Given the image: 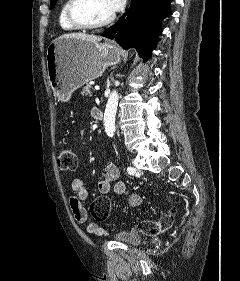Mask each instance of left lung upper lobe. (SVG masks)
Segmentation results:
<instances>
[{"label":"left lung upper lobe","mask_w":240,"mask_h":281,"mask_svg":"<svg viewBox=\"0 0 240 281\" xmlns=\"http://www.w3.org/2000/svg\"><path fill=\"white\" fill-rule=\"evenodd\" d=\"M56 2H57V0H51L50 7L52 8Z\"/></svg>","instance_id":"5c2ea615"}]
</instances>
